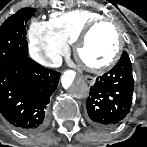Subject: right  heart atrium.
<instances>
[{
  "mask_svg": "<svg viewBox=\"0 0 147 147\" xmlns=\"http://www.w3.org/2000/svg\"><path fill=\"white\" fill-rule=\"evenodd\" d=\"M29 52L32 58L40 64L54 66L66 46L58 41L48 29L46 22L31 23L28 30Z\"/></svg>",
  "mask_w": 147,
  "mask_h": 147,
  "instance_id": "obj_1",
  "label": "right heart atrium"
}]
</instances>
